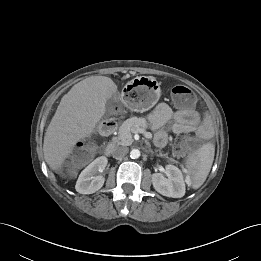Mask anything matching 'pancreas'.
Wrapping results in <instances>:
<instances>
[{
    "instance_id": "1",
    "label": "pancreas",
    "mask_w": 261,
    "mask_h": 261,
    "mask_svg": "<svg viewBox=\"0 0 261 261\" xmlns=\"http://www.w3.org/2000/svg\"><path fill=\"white\" fill-rule=\"evenodd\" d=\"M149 127L145 118L131 117L124 121L119 127L117 137L113 138L116 144L128 146L133 142L132 133H137L139 129L146 130Z\"/></svg>"
}]
</instances>
